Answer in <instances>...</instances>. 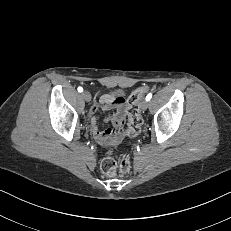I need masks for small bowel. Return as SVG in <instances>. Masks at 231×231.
I'll return each mask as SVG.
<instances>
[{
	"instance_id": "obj_1",
	"label": "small bowel",
	"mask_w": 231,
	"mask_h": 231,
	"mask_svg": "<svg viewBox=\"0 0 231 231\" xmlns=\"http://www.w3.org/2000/svg\"><path fill=\"white\" fill-rule=\"evenodd\" d=\"M100 105L103 109L108 110L115 108L114 112L104 123L111 126L102 128V120L96 115L99 108L98 103H94L90 108V126L94 138L101 145H117L124 136V123L126 116L127 99L126 95L120 91L115 93H102L99 98Z\"/></svg>"
}]
</instances>
